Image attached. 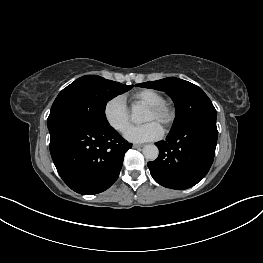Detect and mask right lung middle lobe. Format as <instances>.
<instances>
[{"label": "right lung middle lobe", "instance_id": "obj_1", "mask_svg": "<svg viewBox=\"0 0 263 263\" xmlns=\"http://www.w3.org/2000/svg\"><path fill=\"white\" fill-rule=\"evenodd\" d=\"M132 87L97 75L80 77L64 88L55 99L47 120L48 129L65 121L110 126L105 116L107 102Z\"/></svg>", "mask_w": 263, "mask_h": 263}]
</instances>
